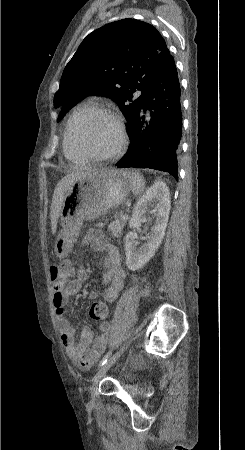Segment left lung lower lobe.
<instances>
[{
  "label": "left lung lower lobe",
  "mask_w": 245,
  "mask_h": 450,
  "mask_svg": "<svg viewBox=\"0 0 245 450\" xmlns=\"http://www.w3.org/2000/svg\"><path fill=\"white\" fill-rule=\"evenodd\" d=\"M146 110L149 115H145ZM181 133V91L171 56L149 86L141 110L128 131V152L116 166L156 169L169 172L178 179Z\"/></svg>",
  "instance_id": "0a47b994"
}]
</instances>
